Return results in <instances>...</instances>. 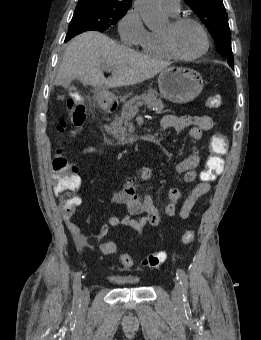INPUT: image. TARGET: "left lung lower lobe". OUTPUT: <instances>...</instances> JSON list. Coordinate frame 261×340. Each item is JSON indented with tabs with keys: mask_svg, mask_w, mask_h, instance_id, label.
<instances>
[{
	"mask_svg": "<svg viewBox=\"0 0 261 340\" xmlns=\"http://www.w3.org/2000/svg\"><path fill=\"white\" fill-rule=\"evenodd\" d=\"M229 65L231 66V68H233V69H234V64H232V63H231V64H229Z\"/></svg>",
	"mask_w": 261,
	"mask_h": 340,
	"instance_id": "0a47b994",
	"label": "left lung lower lobe"
}]
</instances>
